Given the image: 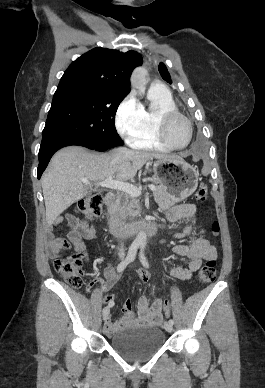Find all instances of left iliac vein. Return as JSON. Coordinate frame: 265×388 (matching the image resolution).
Segmentation results:
<instances>
[{"instance_id":"4c4485c4","label":"left iliac vein","mask_w":265,"mask_h":388,"mask_svg":"<svg viewBox=\"0 0 265 388\" xmlns=\"http://www.w3.org/2000/svg\"><path fill=\"white\" fill-rule=\"evenodd\" d=\"M164 329H165L166 331H168V332H172V330H173V325L170 324L169 322H165V323H164Z\"/></svg>"}]
</instances>
